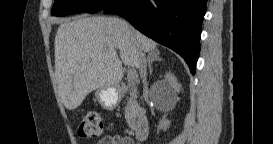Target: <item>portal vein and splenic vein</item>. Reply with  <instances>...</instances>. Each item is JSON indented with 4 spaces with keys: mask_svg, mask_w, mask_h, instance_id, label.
I'll list each match as a JSON object with an SVG mask.
<instances>
[{
    "mask_svg": "<svg viewBox=\"0 0 273 144\" xmlns=\"http://www.w3.org/2000/svg\"><path fill=\"white\" fill-rule=\"evenodd\" d=\"M129 85H133L137 81V74L134 70H129L127 74Z\"/></svg>",
    "mask_w": 273,
    "mask_h": 144,
    "instance_id": "portal-vein-and-splenic-vein-1",
    "label": "portal vein and splenic vein"
}]
</instances>
